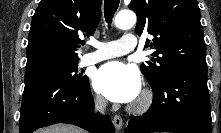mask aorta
Returning a JSON list of instances; mask_svg holds the SVG:
<instances>
[{
  "label": "aorta",
  "instance_id": "1",
  "mask_svg": "<svg viewBox=\"0 0 221 133\" xmlns=\"http://www.w3.org/2000/svg\"><path fill=\"white\" fill-rule=\"evenodd\" d=\"M136 15L132 11H120L114 20L115 26L119 29H129L136 23Z\"/></svg>",
  "mask_w": 221,
  "mask_h": 133
}]
</instances>
